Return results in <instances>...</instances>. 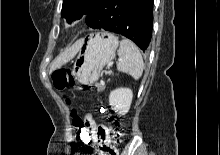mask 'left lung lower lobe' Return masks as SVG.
<instances>
[{
	"mask_svg": "<svg viewBox=\"0 0 220 155\" xmlns=\"http://www.w3.org/2000/svg\"><path fill=\"white\" fill-rule=\"evenodd\" d=\"M153 0H98L86 16V24L132 40L143 51L152 36Z\"/></svg>",
	"mask_w": 220,
	"mask_h": 155,
	"instance_id": "left-lung-lower-lobe-1",
	"label": "left lung lower lobe"
}]
</instances>
